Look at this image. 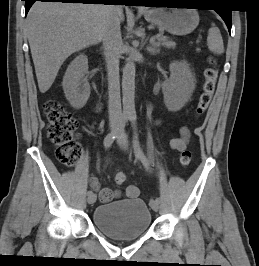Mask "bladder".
<instances>
[{"instance_id": "obj_1", "label": "bladder", "mask_w": 259, "mask_h": 266, "mask_svg": "<svg viewBox=\"0 0 259 266\" xmlns=\"http://www.w3.org/2000/svg\"><path fill=\"white\" fill-rule=\"evenodd\" d=\"M92 222L110 238L134 240L149 230L151 213L142 199L135 198L97 206Z\"/></svg>"}]
</instances>
